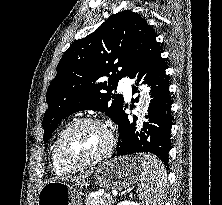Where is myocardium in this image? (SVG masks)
<instances>
[{"instance_id":"obj_1","label":"myocardium","mask_w":222,"mask_h":205,"mask_svg":"<svg viewBox=\"0 0 222 205\" xmlns=\"http://www.w3.org/2000/svg\"><path fill=\"white\" fill-rule=\"evenodd\" d=\"M82 124H93V125H97L99 127H101L107 137V141H106V145L104 147V149L95 157L85 160V161H70L68 160L62 151V144L64 141V138L66 137V135L75 127L82 125ZM113 145H114V136L113 133L111 131V129L108 127V125L98 119V118H94V117H81L78 119H75L74 121H72L70 124H68L59 134L57 141H56V147H55V152H56V157L59 161V163L68 169L71 170H77V169H83V168H87L93 165H96L102 161H104L111 153L112 149H113Z\"/></svg>"}]
</instances>
